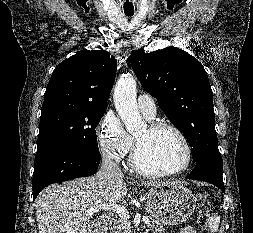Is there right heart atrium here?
Returning a JSON list of instances; mask_svg holds the SVG:
<instances>
[{
	"mask_svg": "<svg viewBox=\"0 0 253 233\" xmlns=\"http://www.w3.org/2000/svg\"><path fill=\"white\" fill-rule=\"evenodd\" d=\"M98 144L102 154L120 162L131 150L133 139L118 116L106 113L98 125Z\"/></svg>",
	"mask_w": 253,
	"mask_h": 233,
	"instance_id": "obj_1",
	"label": "right heart atrium"
}]
</instances>
